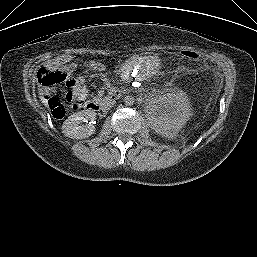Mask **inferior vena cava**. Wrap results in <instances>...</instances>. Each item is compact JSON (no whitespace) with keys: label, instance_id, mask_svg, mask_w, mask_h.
Returning a JSON list of instances; mask_svg holds the SVG:
<instances>
[{"label":"inferior vena cava","instance_id":"inferior-vena-cava-1","mask_svg":"<svg viewBox=\"0 0 257 257\" xmlns=\"http://www.w3.org/2000/svg\"><path fill=\"white\" fill-rule=\"evenodd\" d=\"M113 105H114V102H113V101H107V102H105V103L103 104L102 109H103L104 111H107V110H109Z\"/></svg>","mask_w":257,"mask_h":257}]
</instances>
